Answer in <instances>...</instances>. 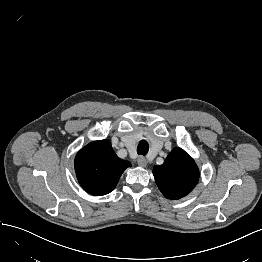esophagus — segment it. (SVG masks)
Here are the masks:
<instances>
[{
  "label": "esophagus",
  "mask_w": 262,
  "mask_h": 262,
  "mask_svg": "<svg viewBox=\"0 0 262 262\" xmlns=\"http://www.w3.org/2000/svg\"><path fill=\"white\" fill-rule=\"evenodd\" d=\"M137 163L141 167H146L148 161H147V159L144 156H139L138 159H137Z\"/></svg>",
  "instance_id": "obj_1"
}]
</instances>
